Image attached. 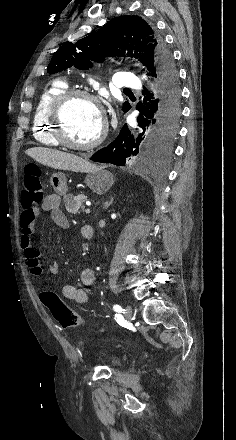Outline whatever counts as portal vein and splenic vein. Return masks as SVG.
Segmentation results:
<instances>
[{"mask_svg": "<svg viewBox=\"0 0 236 440\" xmlns=\"http://www.w3.org/2000/svg\"><path fill=\"white\" fill-rule=\"evenodd\" d=\"M85 212H86V213H90V208H86V209H85Z\"/></svg>", "mask_w": 236, "mask_h": 440, "instance_id": "18ae733b", "label": "portal vein and splenic vein"}]
</instances>
